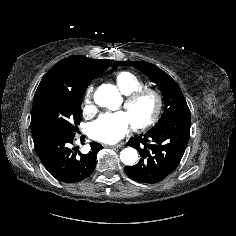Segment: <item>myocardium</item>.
I'll return each mask as SVG.
<instances>
[{"label":"myocardium","mask_w":236,"mask_h":236,"mask_svg":"<svg viewBox=\"0 0 236 236\" xmlns=\"http://www.w3.org/2000/svg\"><path fill=\"white\" fill-rule=\"evenodd\" d=\"M149 96L154 101V110L151 114V116L141 122V123H131L132 128L136 131H143L150 127H152L160 118L162 109H163V97L159 91L153 88L144 87L140 90H137L135 92L130 93L129 95H126L124 102H123V108L128 109L133 104H135L140 99Z\"/></svg>","instance_id":"1"}]
</instances>
